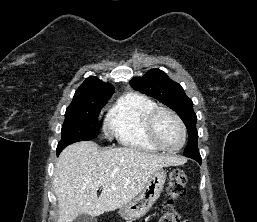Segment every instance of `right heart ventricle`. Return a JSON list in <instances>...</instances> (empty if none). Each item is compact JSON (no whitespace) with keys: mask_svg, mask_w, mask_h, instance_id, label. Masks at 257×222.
<instances>
[{"mask_svg":"<svg viewBox=\"0 0 257 222\" xmlns=\"http://www.w3.org/2000/svg\"><path fill=\"white\" fill-rule=\"evenodd\" d=\"M156 107L157 104L143 94H125L108 110L106 125L120 145L141 151L158 152L160 149L151 142L145 130L146 118Z\"/></svg>","mask_w":257,"mask_h":222,"instance_id":"e07e8e85","label":"right heart ventricle"}]
</instances>
